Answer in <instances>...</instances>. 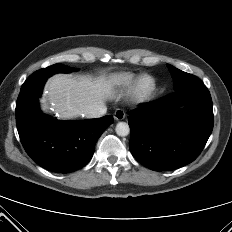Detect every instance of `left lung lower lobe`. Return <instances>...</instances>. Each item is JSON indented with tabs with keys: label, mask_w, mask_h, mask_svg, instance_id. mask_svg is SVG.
Instances as JSON below:
<instances>
[{
	"label": "left lung lower lobe",
	"mask_w": 232,
	"mask_h": 232,
	"mask_svg": "<svg viewBox=\"0 0 232 232\" xmlns=\"http://www.w3.org/2000/svg\"><path fill=\"white\" fill-rule=\"evenodd\" d=\"M128 123L130 151L139 163L154 171L180 168L198 157L212 132L211 95L202 81L187 85L143 104Z\"/></svg>",
	"instance_id": "obj_1"
}]
</instances>
